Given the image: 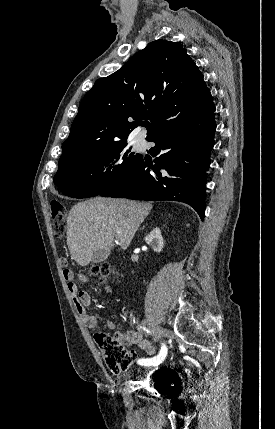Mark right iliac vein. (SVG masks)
<instances>
[{
  "instance_id": "obj_1",
  "label": "right iliac vein",
  "mask_w": 275,
  "mask_h": 429,
  "mask_svg": "<svg viewBox=\"0 0 275 429\" xmlns=\"http://www.w3.org/2000/svg\"><path fill=\"white\" fill-rule=\"evenodd\" d=\"M155 333H156V336H155V338H154V341H158V340H160L163 336H165V335H166V330H165V329H163L162 327H156V329H155Z\"/></svg>"
}]
</instances>
